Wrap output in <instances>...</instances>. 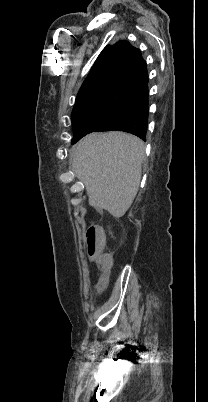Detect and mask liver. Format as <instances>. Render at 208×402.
Returning a JSON list of instances; mask_svg holds the SVG:
<instances>
[{
    "label": "liver",
    "instance_id": "liver-1",
    "mask_svg": "<svg viewBox=\"0 0 208 402\" xmlns=\"http://www.w3.org/2000/svg\"><path fill=\"white\" fill-rule=\"evenodd\" d=\"M142 140L124 132L89 134L72 152L71 170L84 184L99 214L122 218L139 190L144 158Z\"/></svg>",
    "mask_w": 208,
    "mask_h": 402
}]
</instances>
